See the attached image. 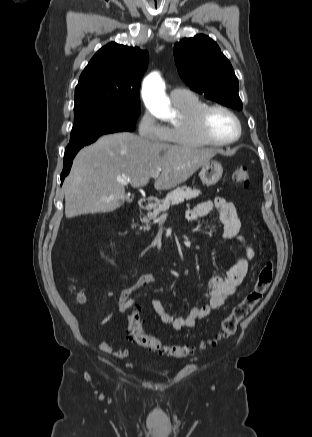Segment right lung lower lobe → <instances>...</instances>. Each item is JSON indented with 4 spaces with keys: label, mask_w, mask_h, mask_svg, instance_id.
<instances>
[{
    "label": "right lung lower lobe",
    "mask_w": 312,
    "mask_h": 437,
    "mask_svg": "<svg viewBox=\"0 0 312 437\" xmlns=\"http://www.w3.org/2000/svg\"><path fill=\"white\" fill-rule=\"evenodd\" d=\"M77 152L78 151H74L69 154H65L64 163H63V172L61 173V183L63 182L64 178L69 174V171L72 166V160L77 154Z\"/></svg>",
    "instance_id": "right-lung-lower-lobe-1"
}]
</instances>
